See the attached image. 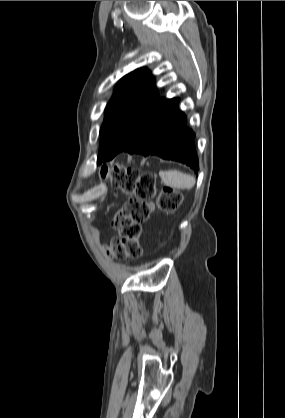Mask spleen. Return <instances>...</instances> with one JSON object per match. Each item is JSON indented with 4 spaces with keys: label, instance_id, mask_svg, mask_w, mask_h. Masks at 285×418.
I'll list each match as a JSON object with an SVG mask.
<instances>
[{
    "label": "spleen",
    "instance_id": "obj_1",
    "mask_svg": "<svg viewBox=\"0 0 285 418\" xmlns=\"http://www.w3.org/2000/svg\"><path fill=\"white\" fill-rule=\"evenodd\" d=\"M162 181L170 187L178 189H191L195 185V178L178 170L160 171Z\"/></svg>",
    "mask_w": 285,
    "mask_h": 418
}]
</instances>
